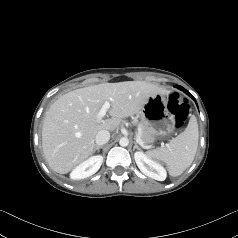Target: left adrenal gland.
<instances>
[{
  "mask_svg": "<svg viewBox=\"0 0 238 238\" xmlns=\"http://www.w3.org/2000/svg\"><path fill=\"white\" fill-rule=\"evenodd\" d=\"M134 150L135 149H138V150H141V148L139 147V145L137 144V142H135V145H134V148H133Z\"/></svg>",
  "mask_w": 238,
  "mask_h": 238,
  "instance_id": "obj_1",
  "label": "left adrenal gland"
}]
</instances>
